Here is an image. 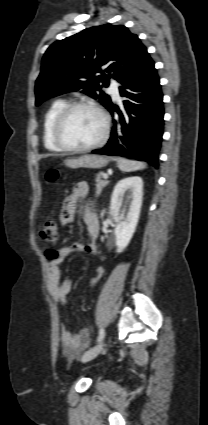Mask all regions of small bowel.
Listing matches in <instances>:
<instances>
[{"label":"small bowel","instance_id":"obj_1","mask_svg":"<svg viewBox=\"0 0 208 425\" xmlns=\"http://www.w3.org/2000/svg\"><path fill=\"white\" fill-rule=\"evenodd\" d=\"M88 193L89 187L86 182L77 183L73 187L72 193L67 196L64 201L60 221L63 224L72 222L76 213L78 201L85 200L81 207V218L86 226L91 241L86 244L75 242L69 247L59 249L57 251L58 256L51 259L48 263L49 292L60 306L66 304V296L71 290V282L69 280H61L60 266L64 259L73 253H85L89 255L97 253L95 241L99 235V221L92 205L86 201ZM61 343L65 356L73 358L81 349L88 345L89 333L87 330H82L79 333L73 334L66 325H63L61 330Z\"/></svg>","mask_w":208,"mask_h":425}]
</instances>
